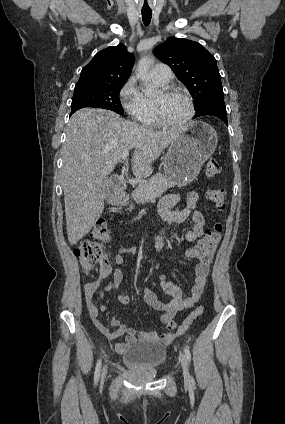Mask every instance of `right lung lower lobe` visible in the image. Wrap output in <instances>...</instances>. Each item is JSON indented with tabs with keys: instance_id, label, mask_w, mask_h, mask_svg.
<instances>
[{
	"instance_id": "98d812e1",
	"label": "right lung lower lobe",
	"mask_w": 285,
	"mask_h": 424,
	"mask_svg": "<svg viewBox=\"0 0 285 424\" xmlns=\"http://www.w3.org/2000/svg\"><path fill=\"white\" fill-rule=\"evenodd\" d=\"M80 108H83V107H75V108H72V110H71V114H70V115H72L75 111L79 110Z\"/></svg>"
}]
</instances>
